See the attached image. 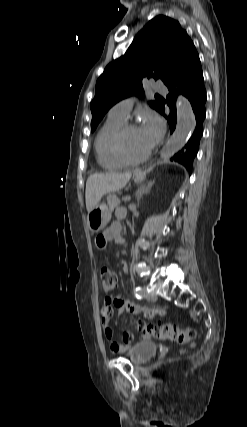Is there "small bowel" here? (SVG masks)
Listing matches in <instances>:
<instances>
[{"instance_id": "1", "label": "small bowel", "mask_w": 247, "mask_h": 427, "mask_svg": "<svg viewBox=\"0 0 247 427\" xmlns=\"http://www.w3.org/2000/svg\"><path fill=\"white\" fill-rule=\"evenodd\" d=\"M123 211H118L119 217L123 216ZM115 240L118 243H122L123 239L121 236V226L118 222L113 223L107 228L103 234L96 238V245L99 248H104L108 241ZM124 271H127V266L123 265ZM114 310L117 311L118 315L123 313L129 314H140L144 313L146 317L153 318L156 314L164 315L165 311L161 309H148L136 303L130 302L123 298L121 294H117L113 299L106 298L104 306L101 312V323L105 337L110 342V348L114 352H124L127 350L133 342V335L129 328H124L122 335V342L118 341L114 337L113 327L110 325V319L113 315ZM117 324V321L115 322ZM144 339L148 338L146 336Z\"/></svg>"}]
</instances>
